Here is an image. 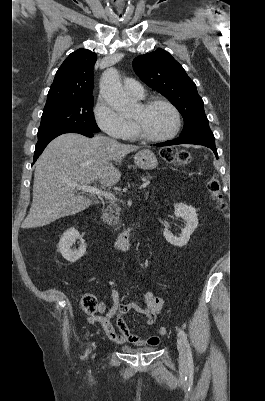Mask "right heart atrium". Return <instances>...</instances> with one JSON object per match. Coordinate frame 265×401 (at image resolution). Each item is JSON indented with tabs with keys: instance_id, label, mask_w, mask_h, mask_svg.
Here are the masks:
<instances>
[{
	"instance_id": "obj_1",
	"label": "right heart atrium",
	"mask_w": 265,
	"mask_h": 401,
	"mask_svg": "<svg viewBox=\"0 0 265 401\" xmlns=\"http://www.w3.org/2000/svg\"><path fill=\"white\" fill-rule=\"evenodd\" d=\"M94 119L99 128L113 138L128 136L133 125L123 119L121 114L103 97H99L94 110Z\"/></svg>"
}]
</instances>
